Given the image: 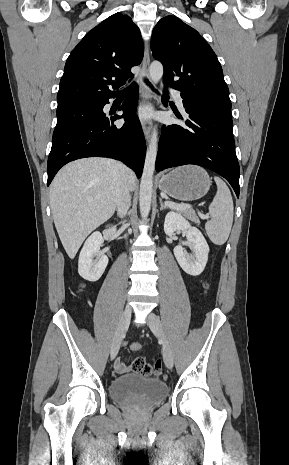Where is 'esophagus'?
Here are the masks:
<instances>
[{
  "label": "esophagus",
  "mask_w": 289,
  "mask_h": 465,
  "mask_svg": "<svg viewBox=\"0 0 289 465\" xmlns=\"http://www.w3.org/2000/svg\"><path fill=\"white\" fill-rule=\"evenodd\" d=\"M143 79L140 80V88L142 92V102L145 103L150 100L151 98V91L147 84V79L149 78V67H150V54H149V44L146 42L145 44V51L143 57ZM152 128V122L149 119L142 120V129L147 141L150 139Z\"/></svg>",
  "instance_id": "esophagus-1"
}]
</instances>
